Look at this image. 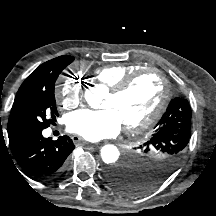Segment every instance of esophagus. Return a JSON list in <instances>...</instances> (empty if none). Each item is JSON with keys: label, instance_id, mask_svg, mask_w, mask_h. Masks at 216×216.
I'll use <instances>...</instances> for the list:
<instances>
[{"label": "esophagus", "instance_id": "obj_1", "mask_svg": "<svg viewBox=\"0 0 216 216\" xmlns=\"http://www.w3.org/2000/svg\"><path fill=\"white\" fill-rule=\"evenodd\" d=\"M72 140L74 143L76 144H80V145H88L89 142H87L86 140H84L81 136L79 135H73L72 136Z\"/></svg>", "mask_w": 216, "mask_h": 216}]
</instances>
